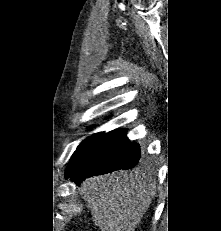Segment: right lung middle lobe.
Masks as SVG:
<instances>
[{
    "instance_id": "right-lung-middle-lobe-1",
    "label": "right lung middle lobe",
    "mask_w": 221,
    "mask_h": 231,
    "mask_svg": "<svg viewBox=\"0 0 221 231\" xmlns=\"http://www.w3.org/2000/svg\"><path fill=\"white\" fill-rule=\"evenodd\" d=\"M102 134H103L102 132L96 133V134H93L92 136L88 137L87 139H85L78 146L77 150L73 154V156L70 160V163L68 165L74 164L82 154H84L96 141L99 140V138L102 136Z\"/></svg>"
}]
</instances>
